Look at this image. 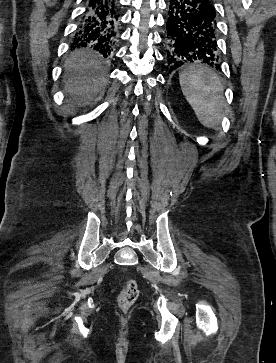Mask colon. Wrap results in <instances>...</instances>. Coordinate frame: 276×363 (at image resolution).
I'll return each instance as SVG.
<instances>
[{"label":"colon","instance_id":"obj_1","mask_svg":"<svg viewBox=\"0 0 276 363\" xmlns=\"http://www.w3.org/2000/svg\"><path fill=\"white\" fill-rule=\"evenodd\" d=\"M139 295L138 284L134 279H127L118 297V305L121 310L127 311L136 301Z\"/></svg>","mask_w":276,"mask_h":363}]
</instances>
